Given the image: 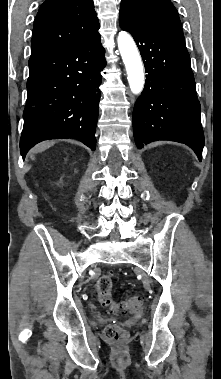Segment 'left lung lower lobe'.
Returning <instances> with one entry per match:
<instances>
[{"label": "left lung lower lobe", "mask_w": 221, "mask_h": 379, "mask_svg": "<svg viewBox=\"0 0 221 379\" xmlns=\"http://www.w3.org/2000/svg\"><path fill=\"white\" fill-rule=\"evenodd\" d=\"M119 24L134 37L148 73L133 110L137 147L177 141L189 145L201 161V110L184 36L146 25L127 7L120 8Z\"/></svg>", "instance_id": "0a47b994"}]
</instances>
